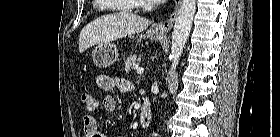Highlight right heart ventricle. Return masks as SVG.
<instances>
[{"label": "right heart ventricle", "instance_id": "e07e8e85", "mask_svg": "<svg viewBox=\"0 0 280 137\" xmlns=\"http://www.w3.org/2000/svg\"><path fill=\"white\" fill-rule=\"evenodd\" d=\"M96 2H101V1H104V0H95ZM119 1H122V2H132V0H119ZM120 10L122 11H130V9L126 8V7H121L119 8Z\"/></svg>", "mask_w": 280, "mask_h": 137}]
</instances>
